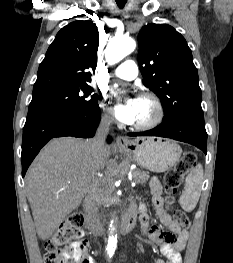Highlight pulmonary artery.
<instances>
[{
    "instance_id": "e3ab8cb5",
    "label": "pulmonary artery",
    "mask_w": 233,
    "mask_h": 263,
    "mask_svg": "<svg viewBox=\"0 0 233 263\" xmlns=\"http://www.w3.org/2000/svg\"><path fill=\"white\" fill-rule=\"evenodd\" d=\"M113 75L120 79L133 80L138 75V67L133 60H126L114 70Z\"/></svg>"
}]
</instances>
